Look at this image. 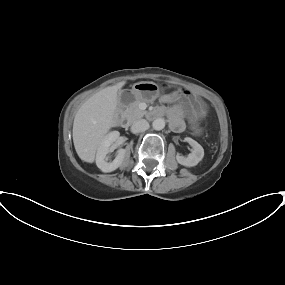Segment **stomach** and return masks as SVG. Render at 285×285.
<instances>
[{"mask_svg":"<svg viewBox=\"0 0 285 285\" xmlns=\"http://www.w3.org/2000/svg\"><path fill=\"white\" fill-rule=\"evenodd\" d=\"M160 92V88L153 82H139L133 85L132 97L135 100L152 101ZM175 102L181 108L186 118L200 120L206 116L207 109L204 101L197 95L186 90H180L175 97Z\"/></svg>","mask_w":285,"mask_h":285,"instance_id":"0dacf381","label":"stomach"}]
</instances>
